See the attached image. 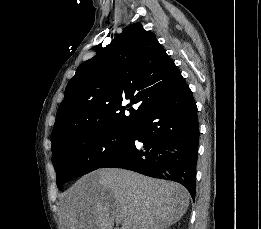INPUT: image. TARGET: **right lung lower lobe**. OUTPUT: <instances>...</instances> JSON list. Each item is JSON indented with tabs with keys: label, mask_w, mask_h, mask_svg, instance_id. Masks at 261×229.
Instances as JSON below:
<instances>
[{
	"label": "right lung lower lobe",
	"mask_w": 261,
	"mask_h": 229,
	"mask_svg": "<svg viewBox=\"0 0 261 229\" xmlns=\"http://www.w3.org/2000/svg\"><path fill=\"white\" fill-rule=\"evenodd\" d=\"M133 134L129 147L101 168H123L175 181L194 200L200 133L197 106L184 78L144 117Z\"/></svg>",
	"instance_id": "1"
}]
</instances>
